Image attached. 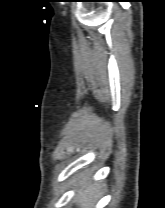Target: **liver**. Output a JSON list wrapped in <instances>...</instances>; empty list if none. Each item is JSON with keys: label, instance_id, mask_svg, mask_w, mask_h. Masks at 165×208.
Wrapping results in <instances>:
<instances>
[{"label": "liver", "instance_id": "liver-1", "mask_svg": "<svg viewBox=\"0 0 165 208\" xmlns=\"http://www.w3.org/2000/svg\"><path fill=\"white\" fill-rule=\"evenodd\" d=\"M89 177V174L82 175L78 183L81 188L78 191L75 202L79 204L80 208H92L100 195L99 185L87 183Z\"/></svg>", "mask_w": 165, "mask_h": 208}]
</instances>
